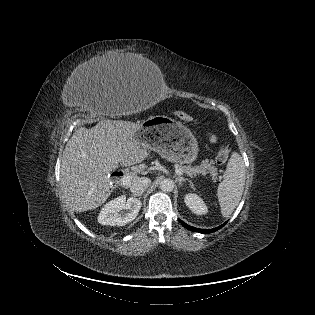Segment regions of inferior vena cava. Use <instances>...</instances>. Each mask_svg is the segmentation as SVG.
Listing matches in <instances>:
<instances>
[{
    "label": "inferior vena cava",
    "instance_id": "obj_1",
    "mask_svg": "<svg viewBox=\"0 0 315 315\" xmlns=\"http://www.w3.org/2000/svg\"><path fill=\"white\" fill-rule=\"evenodd\" d=\"M151 180L147 177H138L133 180L130 190L134 194H142L150 186Z\"/></svg>",
    "mask_w": 315,
    "mask_h": 315
}]
</instances>
